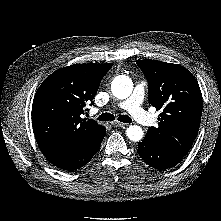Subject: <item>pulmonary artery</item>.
I'll return each instance as SVG.
<instances>
[{
	"label": "pulmonary artery",
	"instance_id": "e3ab8cb5",
	"mask_svg": "<svg viewBox=\"0 0 221 221\" xmlns=\"http://www.w3.org/2000/svg\"><path fill=\"white\" fill-rule=\"evenodd\" d=\"M144 88L145 83H137L132 95L127 100L119 102L117 106L127 110L138 123L144 126H152L155 124V119L142 108Z\"/></svg>",
	"mask_w": 221,
	"mask_h": 221
}]
</instances>
